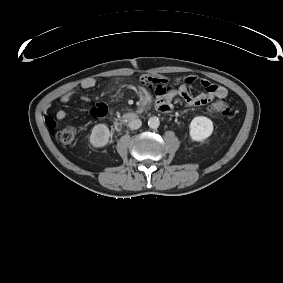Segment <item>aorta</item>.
<instances>
[{"instance_id":"762f6f07","label":"aorta","mask_w":283,"mask_h":283,"mask_svg":"<svg viewBox=\"0 0 283 283\" xmlns=\"http://www.w3.org/2000/svg\"><path fill=\"white\" fill-rule=\"evenodd\" d=\"M160 125V121L157 117H151L148 120V126L152 129H157Z\"/></svg>"}]
</instances>
